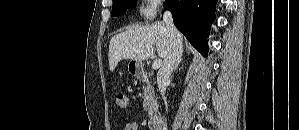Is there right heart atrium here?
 Wrapping results in <instances>:
<instances>
[{
    "label": "right heart atrium",
    "instance_id": "right-heart-atrium-1",
    "mask_svg": "<svg viewBox=\"0 0 299 130\" xmlns=\"http://www.w3.org/2000/svg\"><path fill=\"white\" fill-rule=\"evenodd\" d=\"M160 0H146L143 2L140 12L143 18L147 20L153 19L161 6Z\"/></svg>",
    "mask_w": 299,
    "mask_h": 130
}]
</instances>
